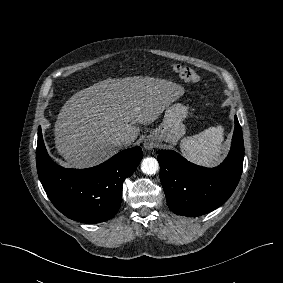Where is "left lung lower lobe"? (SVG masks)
Returning <instances> with one entry per match:
<instances>
[{"instance_id": "obj_1", "label": "left lung lower lobe", "mask_w": 283, "mask_h": 283, "mask_svg": "<svg viewBox=\"0 0 283 283\" xmlns=\"http://www.w3.org/2000/svg\"><path fill=\"white\" fill-rule=\"evenodd\" d=\"M160 180L167 204L178 215L200 216L221 206L232 195L242 173L244 143L235 116L231 150L215 168L188 162L172 150H159Z\"/></svg>"}]
</instances>
